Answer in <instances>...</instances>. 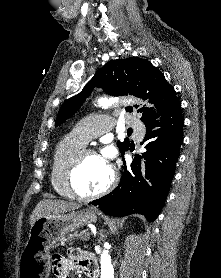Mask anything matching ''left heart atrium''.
<instances>
[{
    "instance_id": "left-heart-atrium-1",
    "label": "left heart atrium",
    "mask_w": 221,
    "mask_h": 278,
    "mask_svg": "<svg viewBox=\"0 0 221 278\" xmlns=\"http://www.w3.org/2000/svg\"><path fill=\"white\" fill-rule=\"evenodd\" d=\"M113 154V150L112 148L108 147L105 148L104 151L102 152V154L100 155L104 160H106L107 162H109L111 156Z\"/></svg>"
}]
</instances>
